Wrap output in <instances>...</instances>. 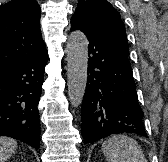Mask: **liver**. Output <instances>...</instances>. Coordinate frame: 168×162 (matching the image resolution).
Here are the masks:
<instances>
[{"label":"liver","instance_id":"6515ba94","mask_svg":"<svg viewBox=\"0 0 168 162\" xmlns=\"http://www.w3.org/2000/svg\"><path fill=\"white\" fill-rule=\"evenodd\" d=\"M17 141L0 136V162L7 161L16 151Z\"/></svg>","mask_w":168,"mask_h":162}]
</instances>
